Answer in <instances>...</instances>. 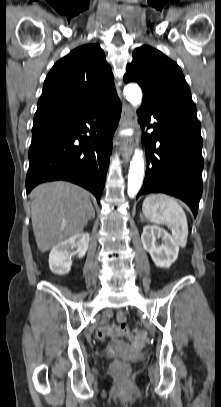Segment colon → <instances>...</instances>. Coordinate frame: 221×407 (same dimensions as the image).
I'll use <instances>...</instances> for the list:
<instances>
[{"instance_id":"1","label":"colon","mask_w":221,"mask_h":407,"mask_svg":"<svg viewBox=\"0 0 221 407\" xmlns=\"http://www.w3.org/2000/svg\"><path fill=\"white\" fill-rule=\"evenodd\" d=\"M125 313H117L115 320L118 322L116 326H105L99 329L98 337L104 341L107 337L111 336H127L132 344L138 348H144L147 342V335L144 332L130 333L125 324ZM112 371L119 377L125 378L129 374V365L121 360H114L111 364Z\"/></svg>"}]
</instances>
